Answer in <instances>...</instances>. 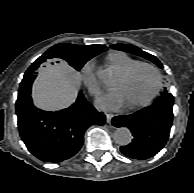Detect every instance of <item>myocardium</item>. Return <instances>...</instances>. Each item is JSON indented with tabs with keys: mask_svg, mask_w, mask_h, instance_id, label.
Segmentation results:
<instances>
[{
	"mask_svg": "<svg viewBox=\"0 0 194 193\" xmlns=\"http://www.w3.org/2000/svg\"><path fill=\"white\" fill-rule=\"evenodd\" d=\"M141 67H147L149 69H151L156 77V85H155V89L152 92V94L144 101L137 103V104H132V105H125V107L129 110H135V109H139L145 106H148L149 104H151L155 98L158 96L161 87H162V76L161 73L159 71V69L151 63H147V62H139L133 66H131L130 68H128L127 70H125L124 72H122L120 74L121 78L123 79H127L129 78L137 69L141 68Z\"/></svg>",
	"mask_w": 194,
	"mask_h": 193,
	"instance_id": "obj_1",
	"label": "myocardium"
}]
</instances>
